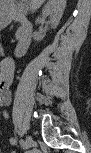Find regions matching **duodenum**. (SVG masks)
<instances>
[{
	"label": "duodenum",
	"mask_w": 91,
	"mask_h": 153,
	"mask_svg": "<svg viewBox=\"0 0 91 153\" xmlns=\"http://www.w3.org/2000/svg\"><path fill=\"white\" fill-rule=\"evenodd\" d=\"M11 18L20 24L19 27V40L15 48V56L20 57L24 55L31 43L33 26L26 16L24 7H19L11 13Z\"/></svg>",
	"instance_id": "duodenum-1"
}]
</instances>
